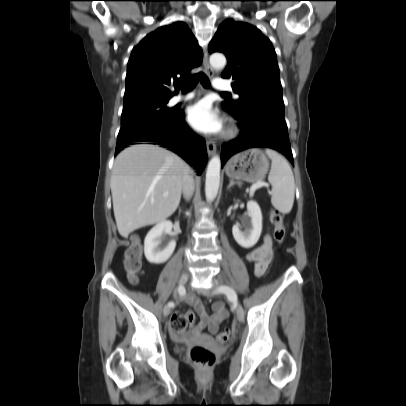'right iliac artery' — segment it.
<instances>
[{
	"mask_svg": "<svg viewBox=\"0 0 406 406\" xmlns=\"http://www.w3.org/2000/svg\"><path fill=\"white\" fill-rule=\"evenodd\" d=\"M178 292H179V294H180L181 296L184 295V294H185V289H184V287H183V286H180V287L178 288ZM168 306L174 307V302H169V303H168Z\"/></svg>",
	"mask_w": 406,
	"mask_h": 406,
	"instance_id": "right-iliac-artery-1",
	"label": "right iliac artery"
}]
</instances>
